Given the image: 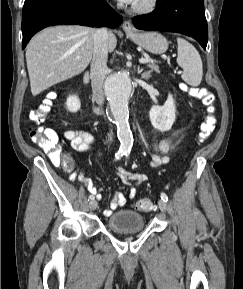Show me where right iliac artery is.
<instances>
[{"label": "right iliac artery", "mask_w": 243, "mask_h": 289, "mask_svg": "<svg viewBox=\"0 0 243 289\" xmlns=\"http://www.w3.org/2000/svg\"><path fill=\"white\" fill-rule=\"evenodd\" d=\"M123 155H125V153L123 151H119L115 154V160H119ZM94 199V195L91 194L89 196V200H93Z\"/></svg>", "instance_id": "obj_1"}]
</instances>
